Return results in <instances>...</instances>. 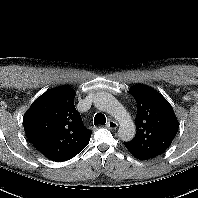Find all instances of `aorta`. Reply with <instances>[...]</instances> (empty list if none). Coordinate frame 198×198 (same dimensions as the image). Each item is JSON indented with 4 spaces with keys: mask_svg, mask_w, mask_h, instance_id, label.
I'll return each mask as SVG.
<instances>
[{
    "mask_svg": "<svg viewBox=\"0 0 198 198\" xmlns=\"http://www.w3.org/2000/svg\"><path fill=\"white\" fill-rule=\"evenodd\" d=\"M95 106L116 118L119 122L118 136L123 141H130L135 135V125L125 108L110 94L98 93L94 98Z\"/></svg>",
    "mask_w": 198,
    "mask_h": 198,
    "instance_id": "obj_1",
    "label": "aorta"
}]
</instances>
